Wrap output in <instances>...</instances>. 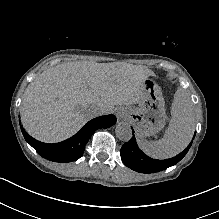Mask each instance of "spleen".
I'll return each instance as SVG.
<instances>
[{"label": "spleen", "instance_id": "spleen-1", "mask_svg": "<svg viewBox=\"0 0 219 219\" xmlns=\"http://www.w3.org/2000/svg\"><path fill=\"white\" fill-rule=\"evenodd\" d=\"M172 119L164 137L158 141L138 140L139 147L155 159L176 156L190 143L195 131V112L190 93L179 88L174 94Z\"/></svg>", "mask_w": 219, "mask_h": 219}]
</instances>
